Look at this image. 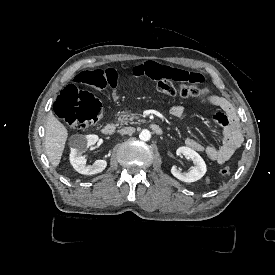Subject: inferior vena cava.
Returning a JSON list of instances; mask_svg holds the SVG:
<instances>
[{
	"label": "inferior vena cava",
	"mask_w": 275,
	"mask_h": 275,
	"mask_svg": "<svg viewBox=\"0 0 275 275\" xmlns=\"http://www.w3.org/2000/svg\"><path fill=\"white\" fill-rule=\"evenodd\" d=\"M136 131V129L134 127H124L120 130H118V133L124 135V134H133Z\"/></svg>",
	"instance_id": "obj_1"
}]
</instances>
